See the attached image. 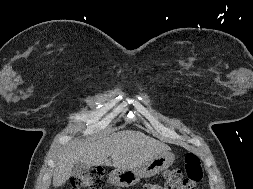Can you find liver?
Listing matches in <instances>:
<instances>
[{"instance_id": "6515ba94", "label": "liver", "mask_w": 253, "mask_h": 189, "mask_svg": "<svg viewBox=\"0 0 253 189\" xmlns=\"http://www.w3.org/2000/svg\"><path fill=\"white\" fill-rule=\"evenodd\" d=\"M170 147L140 131L125 130L91 142L72 141L56 159L53 186H62L71 176L75 164L113 166L134 169ZM111 157V161L108 160Z\"/></svg>"}]
</instances>
